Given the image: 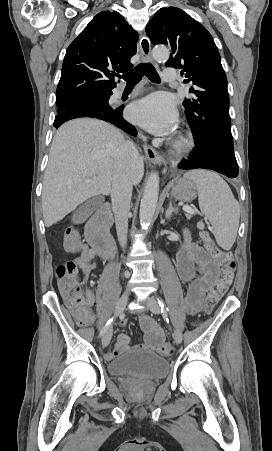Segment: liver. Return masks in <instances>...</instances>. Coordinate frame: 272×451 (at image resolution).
Returning <instances> with one entry per match:
<instances>
[{"label":"liver","mask_w":272,"mask_h":451,"mask_svg":"<svg viewBox=\"0 0 272 451\" xmlns=\"http://www.w3.org/2000/svg\"><path fill=\"white\" fill-rule=\"evenodd\" d=\"M123 142L119 130L101 120L78 118L57 130L43 178L42 210L46 227L63 220L85 200L110 194L114 156ZM143 176V158H138L132 184L137 186Z\"/></svg>","instance_id":"liver-1"}]
</instances>
